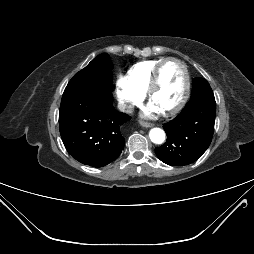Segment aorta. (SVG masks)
<instances>
[{
  "label": "aorta",
  "mask_w": 254,
  "mask_h": 254,
  "mask_svg": "<svg viewBox=\"0 0 254 254\" xmlns=\"http://www.w3.org/2000/svg\"><path fill=\"white\" fill-rule=\"evenodd\" d=\"M149 137L155 144H162L165 140V132L160 128H153L150 130Z\"/></svg>",
  "instance_id": "762f6f07"
}]
</instances>
